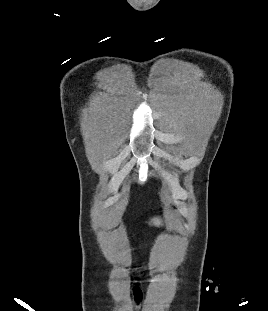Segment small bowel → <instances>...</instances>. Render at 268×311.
I'll use <instances>...</instances> for the list:
<instances>
[{"label":"small bowel","mask_w":268,"mask_h":311,"mask_svg":"<svg viewBox=\"0 0 268 311\" xmlns=\"http://www.w3.org/2000/svg\"><path fill=\"white\" fill-rule=\"evenodd\" d=\"M133 297H134V301L136 305H140V303L143 300L144 295L139 287H135L133 289Z\"/></svg>","instance_id":"c3829d8e"}]
</instances>
